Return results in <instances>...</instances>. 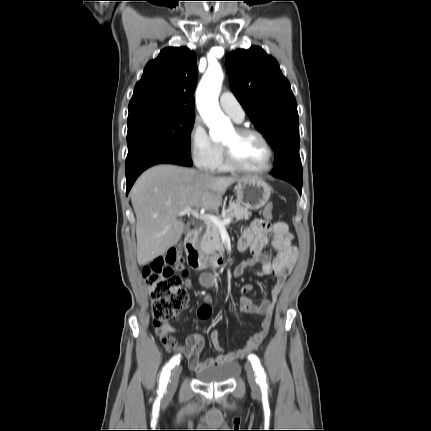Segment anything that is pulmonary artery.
<instances>
[{"instance_id":"e3ab8cb5","label":"pulmonary artery","mask_w":431,"mask_h":431,"mask_svg":"<svg viewBox=\"0 0 431 431\" xmlns=\"http://www.w3.org/2000/svg\"><path fill=\"white\" fill-rule=\"evenodd\" d=\"M219 104L222 110L227 113L234 121L242 122L245 118V112L231 92H223L219 98Z\"/></svg>"}]
</instances>
